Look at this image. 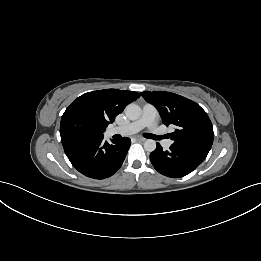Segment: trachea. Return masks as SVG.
Segmentation results:
<instances>
[{"instance_id": "trachea-1", "label": "trachea", "mask_w": 261, "mask_h": 261, "mask_svg": "<svg viewBox=\"0 0 261 261\" xmlns=\"http://www.w3.org/2000/svg\"><path fill=\"white\" fill-rule=\"evenodd\" d=\"M146 137H147V138H151V139H155V140H157V139L160 138V137H158V136H156V135H153V134H147Z\"/></svg>"}]
</instances>
